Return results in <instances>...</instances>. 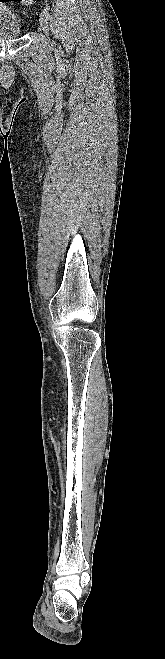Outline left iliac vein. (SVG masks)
<instances>
[{
	"label": "left iliac vein",
	"instance_id": "obj_1",
	"mask_svg": "<svg viewBox=\"0 0 165 659\" xmlns=\"http://www.w3.org/2000/svg\"><path fill=\"white\" fill-rule=\"evenodd\" d=\"M39 23H40V26H41L43 32L46 35H48V33H49L48 22H47V19L43 15L40 16Z\"/></svg>",
	"mask_w": 165,
	"mask_h": 659
}]
</instances>
